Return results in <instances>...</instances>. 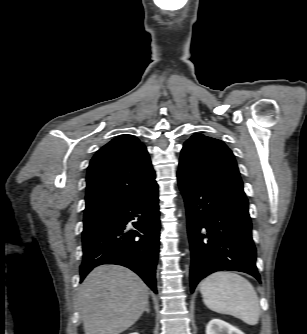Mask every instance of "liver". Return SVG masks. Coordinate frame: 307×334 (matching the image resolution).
<instances>
[{
    "label": "liver",
    "mask_w": 307,
    "mask_h": 334,
    "mask_svg": "<svg viewBox=\"0 0 307 334\" xmlns=\"http://www.w3.org/2000/svg\"><path fill=\"white\" fill-rule=\"evenodd\" d=\"M148 287L119 265L94 268L79 288L78 302L85 334H120L141 317Z\"/></svg>",
    "instance_id": "6515ba94"
}]
</instances>
